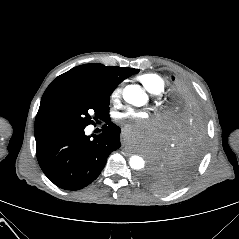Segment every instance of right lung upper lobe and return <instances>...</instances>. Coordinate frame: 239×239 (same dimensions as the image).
I'll return each instance as SVG.
<instances>
[{
  "instance_id": "cb5924a9",
  "label": "right lung upper lobe",
  "mask_w": 239,
  "mask_h": 239,
  "mask_svg": "<svg viewBox=\"0 0 239 239\" xmlns=\"http://www.w3.org/2000/svg\"><path fill=\"white\" fill-rule=\"evenodd\" d=\"M138 71L134 68L104 66L99 63L74 67L58 76L48 86L40 105L63 94L88 91L112 92L124 79Z\"/></svg>"
}]
</instances>
